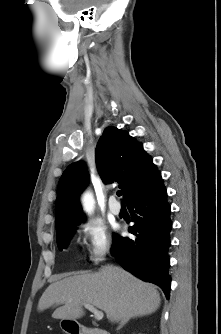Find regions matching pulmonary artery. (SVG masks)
I'll return each mask as SVG.
<instances>
[{"mask_svg":"<svg viewBox=\"0 0 221 334\" xmlns=\"http://www.w3.org/2000/svg\"><path fill=\"white\" fill-rule=\"evenodd\" d=\"M109 209L114 215H119L121 212V206L114 196L109 199Z\"/></svg>","mask_w":221,"mask_h":334,"instance_id":"obj_1","label":"pulmonary artery"}]
</instances>
